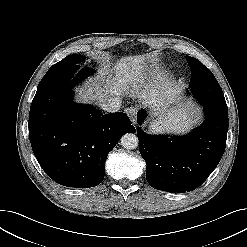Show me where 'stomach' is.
<instances>
[{
    "instance_id": "obj_1",
    "label": "stomach",
    "mask_w": 247,
    "mask_h": 247,
    "mask_svg": "<svg viewBox=\"0 0 247 247\" xmlns=\"http://www.w3.org/2000/svg\"><path fill=\"white\" fill-rule=\"evenodd\" d=\"M187 114L184 112H170L167 115L161 114L152 122L151 129L154 132L165 129L181 130L186 125Z\"/></svg>"
}]
</instances>
